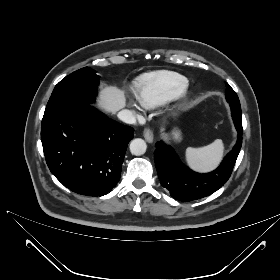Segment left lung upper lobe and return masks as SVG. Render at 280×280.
Listing matches in <instances>:
<instances>
[{"instance_id":"obj_1","label":"left lung upper lobe","mask_w":280,"mask_h":280,"mask_svg":"<svg viewBox=\"0 0 280 280\" xmlns=\"http://www.w3.org/2000/svg\"><path fill=\"white\" fill-rule=\"evenodd\" d=\"M227 90H226V100L230 104V107H234L238 109L239 112H241V106L240 101L235 93V91L229 86V84H226Z\"/></svg>"}]
</instances>
